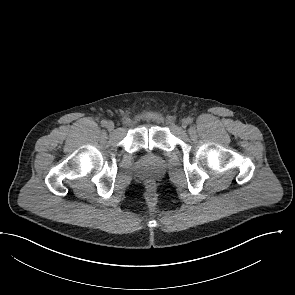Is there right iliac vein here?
<instances>
[{
    "label": "right iliac vein",
    "mask_w": 295,
    "mask_h": 295,
    "mask_svg": "<svg viewBox=\"0 0 295 295\" xmlns=\"http://www.w3.org/2000/svg\"><path fill=\"white\" fill-rule=\"evenodd\" d=\"M115 125L112 121H108L107 124H106V128L109 130V131H112L114 129Z\"/></svg>",
    "instance_id": "63e3f726"
}]
</instances>
